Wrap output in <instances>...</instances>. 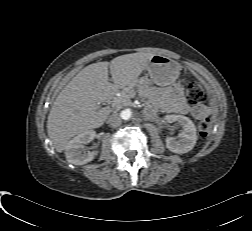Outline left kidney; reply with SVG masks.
I'll return each instance as SVG.
<instances>
[{"mask_svg": "<svg viewBox=\"0 0 252 231\" xmlns=\"http://www.w3.org/2000/svg\"><path fill=\"white\" fill-rule=\"evenodd\" d=\"M167 119L176 121L182 127L183 131L179 138L167 137L166 147L178 154L186 153L195 146L197 141L196 127L194 123L186 116L183 115H169Z\"/></svg>", "mask_w": 252, "mask_h": 231, "instance_id": "5707ae66", "label": "left kidney"}]
</instances>
